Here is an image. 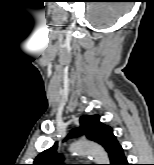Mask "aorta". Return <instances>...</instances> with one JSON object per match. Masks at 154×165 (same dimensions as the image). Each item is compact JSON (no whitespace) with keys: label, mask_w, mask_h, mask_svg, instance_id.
<instances>
[{"label":"aorta","mask_w":154,"mask_h":165,"mask_svg":"<svg viewBox=\"0 0 154 165\" xmlns=\"http://www.w3.org/2000/svg\"><path fill=\"white\" fill-rule=\"evenodd\" d=\"M75 155H88L96 164H109V157L100 145L89 141H77L70 146Z\"/></svg>","instance_id":"obj_1"}]
</instances>
